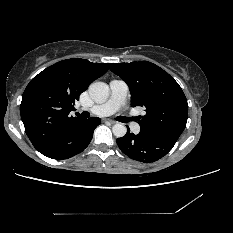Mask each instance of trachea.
Here are the masks:
<instances>
[{
  "label": "trachea",
  "instance_id": "3493384b",
  "mask_svg": "<svg viewBox=\"0 0 233 233\" xmlns=\"http://www.w3.org/2000/svg\"><path fill=\"white\" fill-rule=\"evenodd\" d=\"M83 117H84V118H88V117H89V113H88V112H84V113H83Z\"/></svg>",
  "mask_w": 233,
  "mask_h": 233
}]
</instances>
